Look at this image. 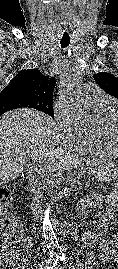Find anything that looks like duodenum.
Wrapping results in <instances>:
<instances>
[{
  "label": "duodenum",
  "instance_id": "obj_1",
  "mask_svg": "<svg viewBox=\"0 0 118 269\" xmlns=\"http://www.w3.org/2000/svg\"><path fill=\"white\" fill-rule=\"evenodd\" d=\"M34 193L36 194L37 191L34 190ZM34 209H35L36 213L38 214V216L42 218L43 211L41 209V206L39 204H35ZM56 225L58 227V230L65 235L71 234L75 228L74 223L71 221H60V222H57Z\"/></svg>",
  "mask_w": 118,
  "mask_h": 269
}]
</instances>
